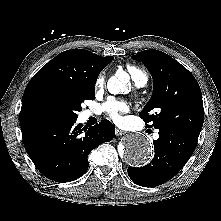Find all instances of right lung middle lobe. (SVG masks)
<instances>
[{
  "label": "right lung middle lobe",
  "instance_id": "obj_1",
  "mask_svg": "<svg viewBox=\"0 0 221 221\" xmlns=\"http://www.w3.org/2000/svg\"><path fill=\"white\" fill-rule=\"evenodd\" d=\"M95 86L69 91H50L37 98L31 105L34 119L76 120L77 111L85 100H93Z\"/></svg>",
  "mask_w": 221,
  "mask_h": 221
}]
</instances>
